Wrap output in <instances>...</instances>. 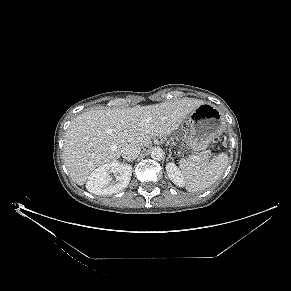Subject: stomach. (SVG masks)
I'll return each mask as SVG.
<instances>
[{
	"mask_svg": "<svg viewBox=\"0 0 291 291\" xmlns=\"http://www.w3.org/2000/svg\"><path fill=\"white\" fill-rule=\"evenodd\" d=\"M189 131L186 144L193 151L205 150L224 131V118L218 108L204 103L195 108L187 119Z\"/></svg>",
	"mask_w": 291,
	"mask_h": 291,
	"instance_id": "obj_1",
	"label": "stomach"
}]
</instances>
